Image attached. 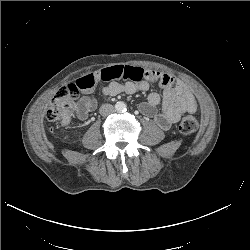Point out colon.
I'll return each instance as SVG.
<instances>
[{"label":"colon","mask_w":250,"mask_h":250,"mask_svg":"<svg viewBox=\"0 0 250 250\" xmlns=\"http://www.w3.org/2000/svg\"><path fill=\"white\" fill-rule=\"evenodd\" d=\"M79 88L76 84L61 87L53 98L46 117L50 121H68L75 109ZM179 131L185 136L193 135L198 129V121L191 115L184 116L179 122Z\"/></svg>","instance_id":"1"}]
</instances>
